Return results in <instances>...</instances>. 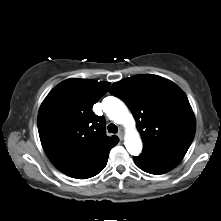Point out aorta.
Wrapping results in <instances>:
<instances>
[{
    "label": "aorta",
    "instance_id": "1",
    "mask_svg": "<svg viewBox=\"0 0 221 221\" xmlns=\"http://www.w3.org/2000/svg\"><path fill=\"white\" fill-rule=\"evenodd\" d=\"M102 104L110 120L131 127L125 135V147L131 155L138 156L142 151V141L139 133L134 129L135 121L126 105L116 97H106Z\"/></svg>",
    "mask_w": 221,
    "mask_h": 221
}]
</instances>
